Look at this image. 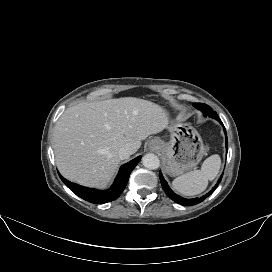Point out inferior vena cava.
Segmentation results:
<instances>
[{
	"label": "inferior vena cava",
	"instance_id": "obj_1",
	"mask_svg": "<svg viewBox=\"0 0 272 272\" xmlns=\"http://www.w3.org/2000/svg\"><path fill=\"white\" fill-rule=\"evenodd\" d=\"M118 156H119V158H120L121 160H125V159H127V158L130 157V152L128 151L127 148L122 147V148H120L119 151H118Z\"/></svg>",
	"mask_w": 272,
	"mask_h": 272
}]
</instances>
